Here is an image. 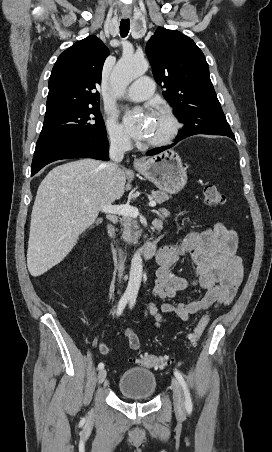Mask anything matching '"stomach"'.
Listing matches in <instances>:
<instances>
[{"mask_svg": "<svg viewBox=\"0 0 272 452\" xmlns=\"http://www.w3.org/2000/svg\"><path fill=\"white\" fill-rule=\"evenodd\" d=\"M140 174L166 193H178L187 183V172L182 160L174 150L143 160L136 166Z\"/></svg>", "mask_w": 272, "mask_h": 452, "instance_id": "0dacf381", "label": "stomach"}]
</instances>
